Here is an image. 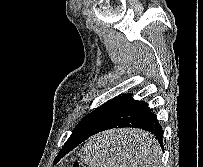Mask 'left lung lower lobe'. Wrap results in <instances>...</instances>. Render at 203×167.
I'll return each mask as SVG.
<instances>
[{
	"mask_svg": "<svg viewBox=\"0 0 203 167\" xmlns=\"http://www.w3.org/2000/svg\"><path fill=\"white\" fill-rule=\"evenodd\" d=\"M123 127L139 128L152 133L163 149V131L156 115L151 112L147 103L144 101L134 100L131 94H126L120 98L112 111L94 131L89 134L69 137L62 147L59 155L60 157L64 156L92 135L108 129ZM115 146L116 144L114 143L112 147L115 148ZM122 146L128 148L129 146H133L138 153L142 152L145 148L138 143L134 145L128 143Z\"/></svg>",
	"mask_w": 203,
	"mask_h": 167,
	"instance_id": "0a47b994",
	"label": "left lung lower lobe"
}]
</instances>
